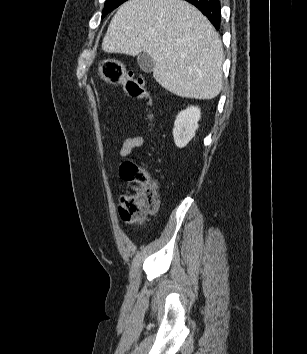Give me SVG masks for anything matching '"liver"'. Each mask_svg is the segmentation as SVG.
Instances as JSON below:
<instances>
[{"label":"liver","mask_w":307,"mask_h":354,"mask_svg":"<svg viewBox=\"0 0 307 354\" xmlns=\"http://www.w3.org/2000/svg\"><path fill=\"white\" fill-rule=\"evenodd\" d=\"M102 49L155 61L154 79L169 92L209 100L222 89V43L208 19L183 0H129L112 18Z\"/></svg>","instance_id":"liver-1"}]
</instances>
